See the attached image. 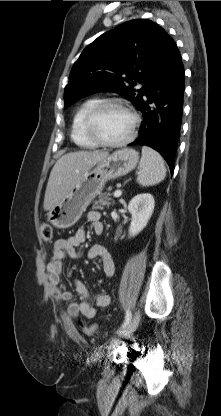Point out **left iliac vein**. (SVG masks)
Listing matches in <instances>:
<instances>
[{"label":"left iliac vein","instance_id":"obj_1","mask_svg":"<svg viewBox=\"0 0 221 416\" xmlns=\"http://www.w3.org/2000/svg\"><path fill=\"white\" fill-rule=\"evenodd\" d=\"M140 321V313L136 312L135 315L133 316L132 320L130 321V323L124 328L122 329L117 336H114L111 338L110 343H109V347L110 349L115 348L116 346H118V344L120 343V339L121 338H128L130 337L137 329L138 324Z\"/></svg>","mask_w":221,"mask_h":416}]
</instances>
